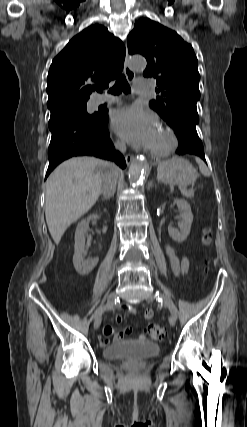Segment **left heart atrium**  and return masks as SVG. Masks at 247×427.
I'll return each mask as SVG.
<instances>
[{
  "instance_id": "1",
  "label": "left heart atrium",
  "mask_w": 247,
  "mask_h": 427,
  "mask_svg": "<svg viewBox=\"0 0 247 427\" xmlns=\"http://www.w3.org/2000/svg\"><path fill=\"white\" fill-rule=\"evenodd\" d=\"M112 128L124 141L136 147H151L158 131L156 118L137 106L116 111Z\"/></svg>"
}]
</instances>
